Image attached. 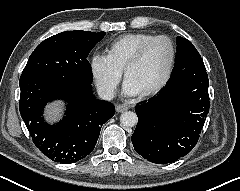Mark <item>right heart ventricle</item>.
I'll return each mask as SVG.
<instances>
[{
	"mask_svg": "<svg viewBox=\"0 0 240 191\" xmlns=\"http://www.w3.org/2000/svg\"><path fill=\"white\" fill-rule=\"evenodd\" d=\"M154 35L149 33H132L118 37L107 47V55L110 60L123 71L127 62L137 50Z\"/></svg>",
	"mask_w": 240,
	"mask_h": 191,
	"instance_id": "obj_1",
	"label": "right heart ventricle"
}]
</instances>
